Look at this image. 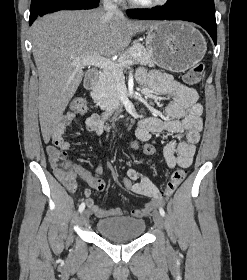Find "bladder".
I'll return each mask as SVG.
<instances>
[{"label":"bladder","instance_id":"bladder-1","mask_svg":"<svg viewBox=\"0 0 247 280\" xmlns=\"http://www.w3.org/2000/svg\"><path fill=\"white\" fill-rule=\"evenodd\" d=\"M146 228L143 219L132 217H111L96 223L97 233L111 241L123 242L140 238Z\"/></svg>","mask_w":247,"mask_h":280}]
</instances>
